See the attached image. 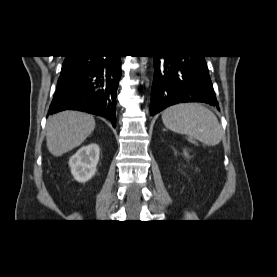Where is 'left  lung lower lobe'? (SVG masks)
Returning <instances> with one entry per match:
<instances>
[{"label": "left lung lower lobe", "instance_id": "obj_1", "mask_svg": "<svg viewBox=\"0 0 277 277\" xmlns=\"http://www.w3.org/2000/svg\"><path fill=\"white\" fill-rule=\"evenodd\" d=\"M153 58L151 116L182 102H204L218 106L204 56L172 55Z\"/></svg>", "mask_w": 277, "mask_h": 277}]
</instances>
